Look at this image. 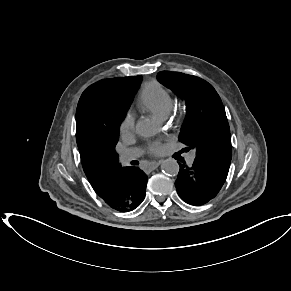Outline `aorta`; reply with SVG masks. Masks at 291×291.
Here are the masks:
<instances>
[{"label": "aorta", "mask_w": 291, "mask_h": 291, "mask_svg": "<svg viewBox=\"0 0 291 291\" xmlns=\"http://www.w3.org/2000/svg\"><path fill=\"white\" fill-rule=\"evenodd\" d=\"M136 133L142 137H151L156 134L155 125L149 120H139L136 124ZM163 173L169 176H175L179 172V164L175 159H166L161 164Z\"/></svg>", "instance_id": "obj_1"}]
</instances>
